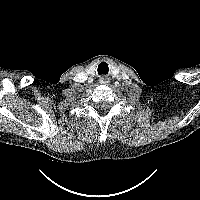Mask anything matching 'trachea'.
Segmentation results:
<instances>
[{
	"label": "trachea",
	"mask_w": 200,
	"mask_h": 200,
	"mask_svg": "<svg viewBox=\"0 0 200 200\" xmlns=\"http://www.w3.org/2000/svg\"><path fill=\"white\" fill-rule=\"evenodd\" d=\"M98 74L102 75V74H107L109 71L108 65L105 62H102L98 65Z\"/></svg>",
	"instance_id": "obj_1"
}]
</instances>
